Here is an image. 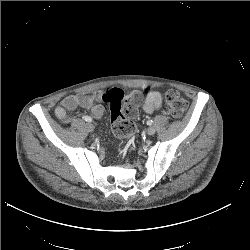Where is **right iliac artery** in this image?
<instances>
[{"instance_id": "right-iliac-artery-1", "label": "right iliac artery", "mask_w": 250, "mask_h": 250, "mask_svg": "<svg viewBox=\"0 0 250 250\" xmlns=\"http://www.w3.org/2000/svg\"><path fill=\"white\" fill-rule=\"evenodd\" d=\"M85 121L87 122H91L92 121V118L90 116H83L82 117Z\"/></svg>"}]
</instances>
